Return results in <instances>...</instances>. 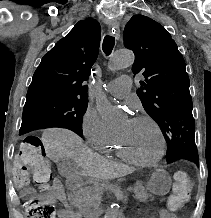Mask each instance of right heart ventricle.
Returning a JSON list of instances; mask_svg holds the SVG:
<instances>
[{
	"label": "right heart ventricle",
	"instance_id": "right-heart-ventricle-1",
	"mask_svg": "<svg viewBox=\"0 0 211 218\" xmlns=\"http://www.w3.org/2000/svg\"><path fill=\"white\" fill-rule=\"evenodd\" d=\"M97 150H99L103 154L110 155V156H115V157H118V158H120L122 160L133 163L128 158H126L124 156V154L121 152V150L119 149V147H118V145L116 143L115 138H113L111 141H109L107 144L101 146Z\"/></svg>",
	"mask_w": 211,
	"mask_h": 218
}]
</instances>
